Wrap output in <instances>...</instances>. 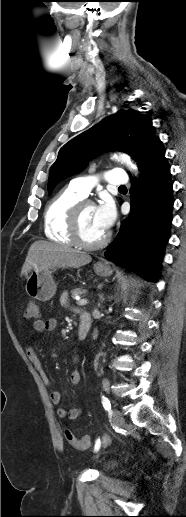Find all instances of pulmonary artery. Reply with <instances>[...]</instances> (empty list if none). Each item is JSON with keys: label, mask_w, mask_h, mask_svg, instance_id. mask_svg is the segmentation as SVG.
Instances as JSON below:
<instances>
[{"label": "pulmonary artery", "mask_w": 186, "mask_h": 517, "mask_svg": "<svg viewBox=\"0 0 186 517\" xmlns=\"http://www.w3.org/2000/svg\"><path fill=\"white\" fill-rule=\"evenodd\" d=\"M105 180L111 185H125L128 182V176L124 169H110ZM95 184L93 177H78L70 182V186L83 197H87Z\"/></svg>", "instance_id": "e3ab8cb5"}]
</instances>
